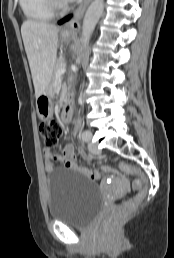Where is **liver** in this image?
I'll return each instance as SVG.
<instances>
[{
	"label": "liver",
	"mask_w": 174,
	"mask_h": 258,
	"mask_svg": "<svg viewBox=\"0 0 174 258\" xmlns=\"http://www.w3.org/2000/svg\"><path fill=\"white\" fill-rule=\"evenodd\" d=\"M58 27L32 20L24 21L21 34L28 57L35 96L48 87L57 58Z\"/></svg>",
	"instance_id": "liver-1"
}]
</instances>
